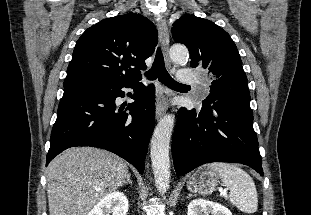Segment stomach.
Returning <instances> with one entry per match:
<instances>
[{"label":"stomach","mask_w":311,"mask_h":215,"mask_svg":"<svg viewBox=\"0 0 311 215\" xmlns=\"http://www.w3.org/2000/svg\"><path fill=\"white\" fill-rule=\"evenodd\" d=\"M218 183V176L209 170V166L199 168L187 181V188L201 195L211 194Z\"/></svg>","instance_id":"0dacf381"}]
</instances>
